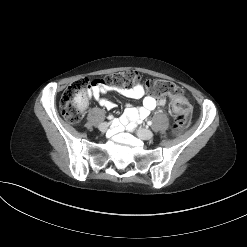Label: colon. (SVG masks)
<instances>
[{
  "instance_id": "1",
  "label": "colon",
  "mask_w": 247,
  "mask_h": 247,
  "mask_svg": "<svg viewBox=\"0 0 247 247\" xmlns=\"http://www.w3.org/2000/svg\"><path fill=\"white\" fill-rule=\"evenodd\" d=\"M138 74L133 70H127L107 75L98 82L112 88L129 87L138 80ZM93 81L82 78L71 83L60 100V111L64 118L71 124H78L83 117V111L87 106L89 90ZM147 90L155 96H171L175 98L172 102L174 112L173 130L180 133L184 128L190 107L188 99L182 97V89L175 83L165 79H150L146 81Z\"/></svg>"
}]
</instances>
